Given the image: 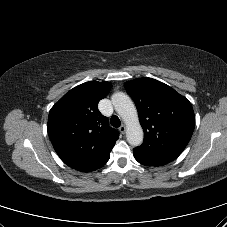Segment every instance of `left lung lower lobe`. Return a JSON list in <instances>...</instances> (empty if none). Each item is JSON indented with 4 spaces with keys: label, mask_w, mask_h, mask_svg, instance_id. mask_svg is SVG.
Masks as SVG:
<instances>
[{
    "label": "left lung lower lobe",
    "mask_w": 227,
    "mask_h": 227,
    "mask_svg": "<svg viewBox=\"0 0 227 227\" xmlns=\"http://www.w3.org/2000/svg\"><path fill=\"white\" fill-rule=\"evenodd\" d=\"M135 159L146 166H163L175 160V157L165 155L162 153H149L139 147L133 149Z\"/></svg>",
    "instance_id": "1"
}]
</instances>
